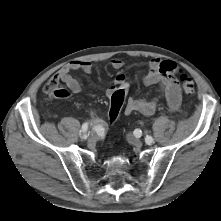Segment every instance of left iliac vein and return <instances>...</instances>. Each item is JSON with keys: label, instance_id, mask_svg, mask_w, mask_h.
Returning <instances> with one entry per match:
<instances>
[{"label": "left iliac vein", "instance_id": "1", "mask_svg": "<svg viewBox=\"0 0 221 221\" xmlns=\"http://www.w3.org/2000/svg\"><path fill=\"white\" fill-rule=\"evenodd\" d=\"M126 138H127V140H128V142L130 143V144H132V145H134V146H136V147H141L142 146V144H143V142L139 139V138H137V137H135L133 134H131V133H128L127 135H126ZM154 142V139L152 140V143ZM151 143V144H152ZM151 144H149V145H151Z\"/></svg>", "mask_w": 221, "mask_h": 221}]
</instances>
